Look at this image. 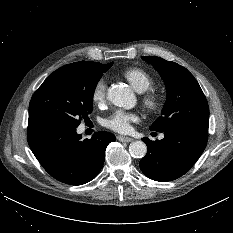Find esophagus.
<instances>
[{
	"label": "esophagus",
	"mask_w": 233,
	"mask_h": 233,
	"mask_svg": "<svg viewBox=\"0 0 233 233\" xmlns=\"http://www.w3.org/2000/svg\"><path fill=\"white\" fill-rule=\"evenodd\" d=\"M117 139L121 142H132L134 139L127 136H118Z\"/></svg>",
	"instance_id": "1"
}]
</instances>
